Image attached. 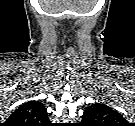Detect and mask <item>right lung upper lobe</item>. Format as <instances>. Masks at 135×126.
<instances>
[{
	"label": "right lung upper lobe",
	"mask_w": 135,
	"mask_h": 126,
	"mask_svg": "<svg viewBox=\"0 0 135 126\" xmlns=\"http://www.w3.org/2000/svg\"><path fill=\"white\" fill-rule=\"evenodd\" d=\"M47 110L42 102L28 101L16 109L6 120V126H48Z\"/></svg>",
	"instance_id": "obj_1"
}]
</instances>
